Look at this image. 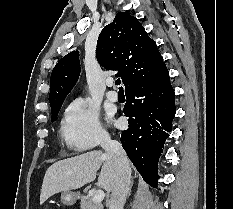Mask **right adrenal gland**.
Instances as JSON below:
<instances>
[{"label":"right adrenal gland","instance_id":"right-adrenal-gland-1","mask_svg":"<svg viewBox=\"0 0 233 209\" xmlns=\"http://www.w3.org/2000/svg\"><path fill=\"white\" fill-rule=\"evenodd\" d=\"M130 194H131V190L129 191V196H130Z\"/></svg>","mask_w":233,"mask_h":209}]
</instances>
